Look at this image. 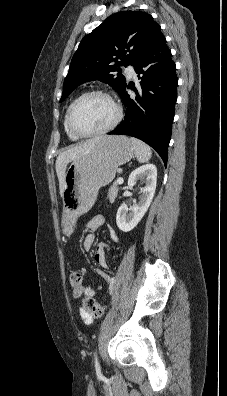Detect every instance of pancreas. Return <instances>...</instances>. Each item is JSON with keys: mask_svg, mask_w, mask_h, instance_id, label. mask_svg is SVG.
<instances>
[{"mask_svg": "<svg viewBox=\"0 0 227 396\" xmlns=\"http://www.w3.org/2000/svg\"><path fill=\"white\" fill-rule=\"evenodd\" d=\"M118 191H119L118 183L114 182L112 184V186L110 187L109 192H108V198H109L110 202H114L115 201V198L117 197Z\"/></svg>", "mask_w": 227, "mask_h": 396, "instance_id": "obj_1", "label": "pancreas"}]
</instances>
